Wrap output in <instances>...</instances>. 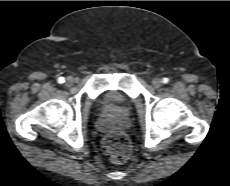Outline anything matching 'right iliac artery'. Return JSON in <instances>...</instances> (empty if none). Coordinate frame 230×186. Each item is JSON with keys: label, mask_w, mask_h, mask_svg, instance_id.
Segmentation results:
<instances>
[{"label": "right iliac artery", "mask_w": 230, "mask_h": 186, "mask_svg": "<svg viewBox=\"0 0 230 186\" xmlns=\"http://www.w3.org/2000/svg\"><path fill=\"white\" fill-rule=\"evenodd\" d=\"M65 82V79L63 77L58 78V83L62 84Z\"/></svg>", "instance_id": "obj_1"}]
</instances>
